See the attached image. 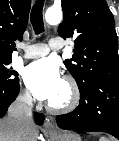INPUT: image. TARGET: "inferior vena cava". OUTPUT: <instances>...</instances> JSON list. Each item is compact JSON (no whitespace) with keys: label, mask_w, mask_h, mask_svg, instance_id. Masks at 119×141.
Returning <instances> with one entry per match:
<instances>
[{"label":"inferior vena cava","mask_w":119,"mask_h":141,"mask_svg":"<svg viewBox=\"0 0 119 141\" xmlns=\"http://www.w3.org/2000/svg\"><path fill=\"white\" fill-rule=\"evenodd\" d=\"M32 108V97L27 92L19 95L8 109V118L14 122L21 133H28L34 125Z\"/></svg>","instance_id":"1"}]
</instances>
